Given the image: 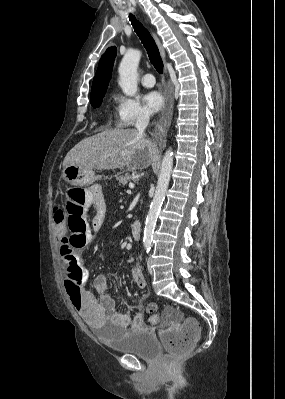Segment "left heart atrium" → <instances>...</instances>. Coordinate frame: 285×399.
Listing matches in <instances>:
<instances>
[{"label":"left heart atrium","mask_w":285,"mask_h":399,"mask_svg":"<svg viewBox=\"0 0 285 399\" xmlns=\"http://www.w3.org/2000/svg\"><path fill=\"white\" fill-rule=\"evenodd\" d=\"M143 102L149 112L155 113L162 108L164 100L158 91H150L144 95Z\"/></svg>","instance_id":"left-heart-atrium-1"}]
</instances>
